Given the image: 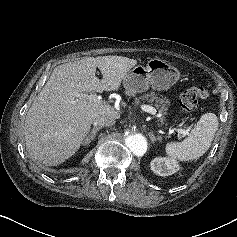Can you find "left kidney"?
<instances>
[{
	"label": "left kidney",
	"instance_id": "obj_1",
	"mask_svg": "<svg viewBox=\"0 0 237 237\" xmlns=\"http://www.w3.org/2000/svg\"><path fill=\"white\" fill-rule=\"evenodd\" d=\"M151 170L159 176H169L179 170L178 162L173 158L156 157L150 163Z\"/></svg>",
	"mask_w": 237,
	"mask_h": 237
}]
</instances>
